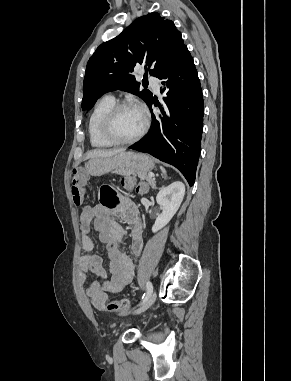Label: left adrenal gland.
<instances>
[{
  "mask_svg": "<svg viewBox=\"0 0 291 381\" xmlns=\"http://www.w3.org/2000/svg\"><path fill=\"white\" fill-rule=\"evenodd\" d=\"M152 188H153V189H156V185H155V184H153V185H152Z\"/></svg>",
  "mask_w": 291,
  "mask_h": 381,
  "instance_id": "1",
  "label": "left adrenal gland"
}]
</instances>
